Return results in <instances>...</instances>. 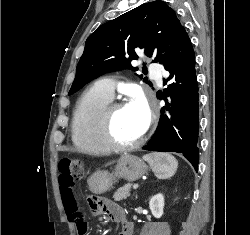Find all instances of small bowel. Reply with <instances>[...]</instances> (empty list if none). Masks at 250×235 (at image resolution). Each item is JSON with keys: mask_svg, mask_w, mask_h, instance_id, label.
<instances>
[{"mask_svg": "<svg viewBox=\"0 0 250 235\" xmlns=\"http://www.w3.org/2000/svg\"><path fill=\"white\" fill-rule=\"evenodd\" d=\"M60 194L66 216L70 222L75 224L79 235H86L88 225L77 211L72 189L60 186ZM88 208L93 213L105 214L112 221L121 224L119 235H133V225L126 220L125 214L118 204L107 200H96L89 201Z\"/></svg>", "mask_w": 250, "mask_h": 235, "instance_id": "1", "label": "small bowel"}]
</instances>
